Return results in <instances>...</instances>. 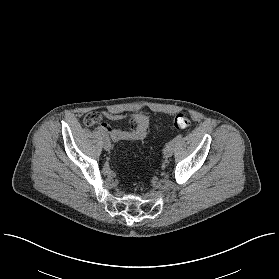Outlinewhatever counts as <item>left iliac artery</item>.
I'll list each match as a JSON object with an SVG mask.
<instances>
[{"instance_id": "1", "label": "left iliac artery", "mask_w": 279, "mask_h": 279, "mask_svg": "<svg viewBox=\"0 0 279 279\" xmlns=\"http://www.w3.org/2000/svg\"><path fill=\"white\" fill-rule=\"evenodd\" d=\"M181 137H182L181 134L177 135L176 138H174L169 144L174 145Z\"/></svg>"}]
</instances>
